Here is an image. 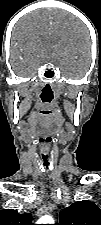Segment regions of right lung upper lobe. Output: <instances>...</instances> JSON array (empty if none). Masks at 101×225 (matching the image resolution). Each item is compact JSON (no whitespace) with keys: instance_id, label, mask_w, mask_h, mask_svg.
Masks as SVG:
<instances>
[{"instance_id":"cb5924a9","label":"right lung upper lobe","mask_w":101,"mask_h":225,"mask_svg":"<svg viewBox=\"0 0 101 225\" xmlns=\"http://www.w3.org/2000/svg\"><path fill=\"white\" fill-rule=\"evenodd\" d=\"M0 225H33L30 213L19 214L16 210L0 211Z\"/></svg>"}]
</instances>
